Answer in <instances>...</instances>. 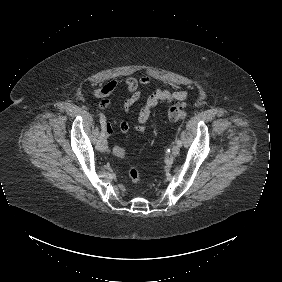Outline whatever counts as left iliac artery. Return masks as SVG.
I'll list each match as a JSON object with an SVG mask.
<instances>
[{"label": "left iliac artery", "instance_id": "left-iliac-artery-1", "mask_svg": "<svg viewBox=\"0 0 282 282\" xmlns=\"http://www.w3.org/2000/svg\"><path fill=\"white\" fill-rule=\"evenodd\" d=\"M176 143H177V145H178L179 147L182 146V142H181L178 138H176Z\"/></svg>", "mask_w": 282, "mask_h": 282}]
</instances>
